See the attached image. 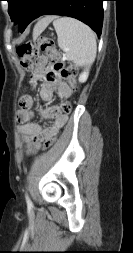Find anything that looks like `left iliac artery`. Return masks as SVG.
<instances>
[{"instance_id":"left-iliac-artery-1","label":"left iliac artery","mask_w":133,"mask_h":253,"mask_svg":"<svg viewBox=\"0 0 133 253\" xmlns=\"http://www.w3.org/2000/svg\"><path fill=\"white\" fill-rule=\"evenodd\" d=\"M26 202L28 204V206H31L32 205V202L30 201L28 195L26 194Z\"/></svg>"}]
</instances>
